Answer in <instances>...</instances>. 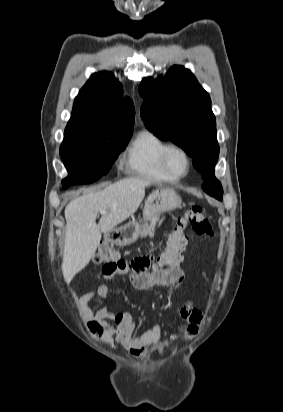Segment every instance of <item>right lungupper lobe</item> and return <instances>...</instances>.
<instances>
[{"instance_id": "cb5924a9", "label": "right lung upper lobe", "mask_w": 283, "mask_h": 412, "mask_svg": "<svg viewBox=\"0 0 283 412\" xmlns=\"http://www.w3.org/2000/svg\"><path fill=\"white\" fill-rule=\"evenodd\" d=\"M135 109L112 73L93 74L75 99L70 123L93 135L132 133Z\"/></svg>"}]
</instances>
